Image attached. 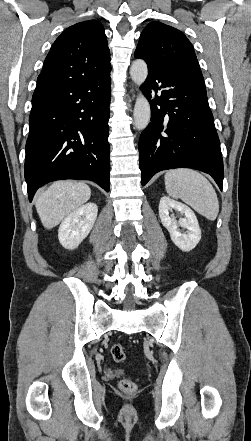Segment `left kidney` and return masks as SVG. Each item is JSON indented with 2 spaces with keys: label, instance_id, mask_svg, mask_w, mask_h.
Masks as SVG:
<instances>
[{
  "label": "left kidney",
  "instance_id": "5707ae66",
  "mask_svg": "<svg viewBox=\"0 0 251 441\" xmlns=\"http://www.w3.org/2000/svg\"><path fill=\"white\" fill-rule=\"evenodd\" d=\"M172 210L184 214L185 218L177 221L174 215H169V211ZM159 217L162 225L169 231L171 240L180 250L189 252L199 243L201 230L198 220L187 205L164 196L159 203ZM179 226L186 231L181 232Z\"/></svg>",
  "mask_w": 251,
  "mask_h": 441
}]
</instances>
